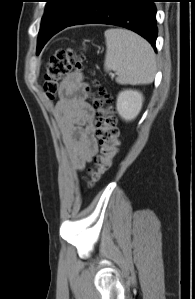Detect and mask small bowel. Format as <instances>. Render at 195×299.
<instances>
[{
  "mask_svg": "<svg viewBox=\"0 0 195 299\" xmlns=\"http://www.w3.org/2000/svg\"><path fill=\"white\" fill-rule=\"evenodd\" d=\"M57 106L66 152L74 168L83 170L98 153L95 109L87 100L80 72L69 73L61 82Z\"/></svg>",
  "mask_w": 195,
  "mask_h": 299,
  "instance_id": "small-bowel-1",
  "label": "small bowel"
}]
</instances>
